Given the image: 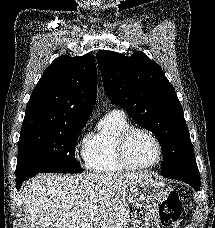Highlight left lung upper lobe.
<instances>
[{
	"instance_id": "1",
	"label": "left lung upper lobe",
	"mask_w": 215,
	"mask_h": 228,
	"mask_svg": "<svg viewBox=\"0 0 215 228\" xmlns=\"http://www.w3.org/2000/svg\"><path fill=\"white\" fill-rule=\"evenodd\" d=\"M96 56L108 98L158 139L161 174L196 162L182 106L161 67L140 51L126 57L100 50Z\"/></svg>"
}]
</instances>
